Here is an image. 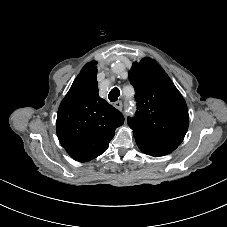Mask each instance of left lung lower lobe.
Here are the masks:
<instances>
[{
  "instance_id": "left-lung-lower-lobe-1",
  "label": "left lung lower lobe",
  "mask_w": 227,
  "mask_h": 227,
  "mask_svg": "<svg viewBox=\"0 0 227 227\" xmlns=\"http://www.w3.org/2000/svg\"><path fill=\"white\" fill-rule=\"evenodd\" d=\"M139 149L151 156H164L174 151L178 145L144 128H132Z\"/></svg>"
}]
</instances>
